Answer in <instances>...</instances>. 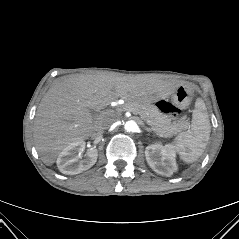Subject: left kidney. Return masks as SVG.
Listing matches in <instances>:
<instances>
[{
  "mask_svg": "<svg viewBox=\"0 0 239 239\" xmlns=\"http://www.w3.org/2000/svg\"><path fill=\"white\" fill-rule=\"evenodd\" d=\"M147 163L157 174L171 176L176 170V151L171 144L163 146L160 143L149 145L145 149Z\"/></svg>",
  "mask_w": 239,
  "mask_h": 239,
  "instance_id": "1",
  "label": "left kidney"
}]
</instances>
